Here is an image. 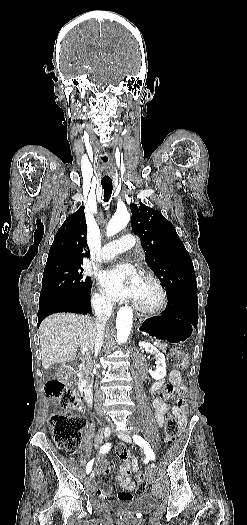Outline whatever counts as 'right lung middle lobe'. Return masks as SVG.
I'll list each match as a JSON object with an SVG mask.
<instances>
[{"label": "right lung middle lobe", "mask_w": 247, "mask_h": 525, "mask_svg": "<svg viewBox=\"0 0 247 525\" xmlns=\"http://www.w3.org/2000/svg\"><path fill=\"white\" fill-rule=\"evenodd\" d=\"M90 280L81 266L44 271L39 304L55 298L84 297L90 290Z\"/></svg>", "instance_id": "obj_1"}]
</instances>
